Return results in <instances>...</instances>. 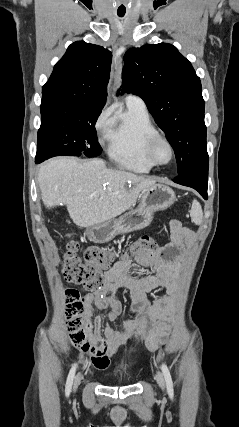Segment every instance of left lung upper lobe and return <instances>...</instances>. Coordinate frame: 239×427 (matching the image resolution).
<instances>
[{"instance_id": "left-lung-upper-lobe-1", "label": "left lung upper lobe", "mask_w": 239, "mask_h": 427, "mask_svg": "<svg viewBox=\"0 0 239 427\" xmlns=\"http://www.w3.org/2000/svg\"><path fill=\"white\" fill-rule=\"evenodd\" d=\"M122 92L139 95L174 149L178 175L208 159L205 103L190 61L167 43L131 48L124 55Z\"/></svg>"}]
</instances>
